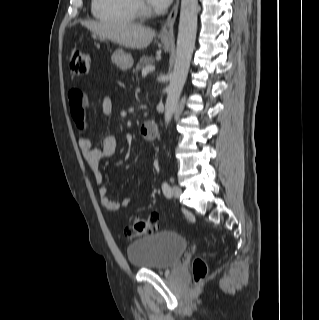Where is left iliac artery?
Wrapping results in <instances>:
<instances>
[{
  "label": "left iliac artery",
  "mask_w": 319,
  "mask_h": 320,
  "mask_svg": "<svg viewBox=\"0 0 319 320\" xmlns=\"http://www.w3.org/2000/svg\"><path fill=\"white\" fill-rule=\"evenodd\" d=\"M162 191L167 198H170L172 196L171 187L167 182H163Z\"/></svg>",
  "instance_id": "left-iliac-artery-1"
}]
</instances>
